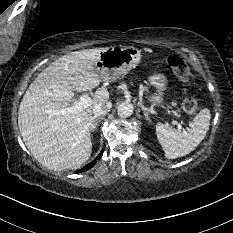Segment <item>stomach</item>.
I'll return each mask as SVG.
<instances>
[{
    "label": "stomach",
    "instance_id": "obj_1",
    "mask_svg": "<svg viewBox=\"0 0 233 233\" xmlns=\"http://www.w3.org/2000/svg\"><path fill=\"white\" fill-rule=\"evenodd\" d=\"M141 61V51L134 46H113L104 48L95 62V70L102 80H114L134 69ZM158 94L151 97L156 103L163 101V91L167 85L164 74L157 73L149 77Z\"/></svg>",
    "mask_w": 233,
    "mask_h": 233
}]
</instances>
